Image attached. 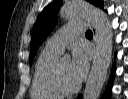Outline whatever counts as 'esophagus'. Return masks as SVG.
<instances>
[{
	"instance_id": "esophagus-1",
	"label": "esophagus",
	"mask_w": 128,
	"mask_h": 99,
	"mask_svg": "<svg viewBox=\"0 0 128 99\" xmlns=\"http://www.w3.org/2000/svg\"><path fill=\"white\" fill-rule=\"evenodd\" d=\"M90 26L94 33L93 46H94V48H96V28L92 24H90Z\"/></svg>"
}]
</instances>
